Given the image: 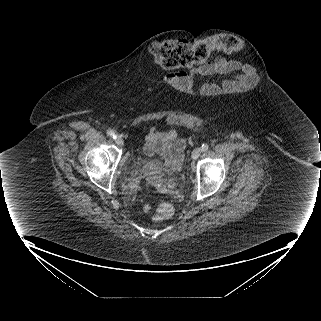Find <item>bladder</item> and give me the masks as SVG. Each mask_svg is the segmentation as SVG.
Here are the masks:
<instances>
[{"label": "bladder", "mask_w": 321, "mask_h": 321, "mask_svg": "<svg viewBox=\"0 0 321 321\" xmlns=\"http://www.w3.org/2000/svg\"><path fill=\"white\" fill-rule=\"evenodd\" d=\"M180 165L178 166V168L180 167ZM136 169L139 174L143 175L145 178L151 181H156L165 176L162 171L160 162L147 154L144 158L136 163Z\"/></svg>", "instance_id": "bladder-1"}]
</instances>
